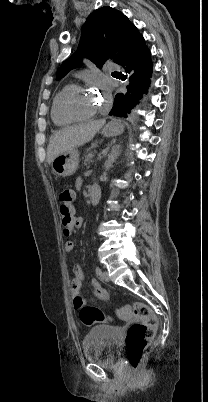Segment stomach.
Wrapping results in <instances>:
<instances>
[{
    "instance_id": "stomach-1",
    "label": "stomach",
    "mask_w": 208,
    "mask_h": 402,
    "mask_svg": "<svg viewBox=\"0 0 208 402\" xmlns=\"http://www.w3.org/2000/svg\"><path fill=\"white\" fill-rule=\"evenodd\" d=\"M124 126L120 120H112L109 124L104 126L101 134L106 138H112V136H119L122 134ZM79 164V152L76 148L73 150H67L63 154L56 156L51 162V168L57 176H73L75 174Z\"/></svg>"
}]
</instances>
